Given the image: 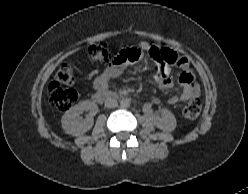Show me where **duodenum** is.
<instances>
[{"mask_svg": "<svg viewBox=\"0 0 248 194\" xmlns=\"http://www.w3.org/2000/svg\"><path fill=\"white\" fill-rule=\"evenodd\" d=\"M125 94L107 91H98L93 95V99L97 103H103L107 100L124 98Z\"/></svg>", "mask_w": 248, "mask_h": 194, "instance_id": "410a0bca", "label": "duodenum"}]
</instances>
